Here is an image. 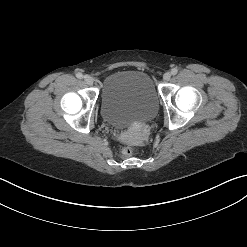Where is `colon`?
I'll return each mask as SVG.
<instances>
[{
	"label": "colon",
	"instance_id": "5ec220e1",
	"mask_svg": "<svg viewBox=\"0 0 247 247\" xmlns=\"http://www.w3.org/2000/svg\"><path fill=\"white\" fill-rule=\"evenodd\" d=\"M135 152V148L129 144H122L119 149L118 153L121 156H131Z\"/></svg>",
	"mask_w": 247,
	"mask_h": 247
}]
</instances>
